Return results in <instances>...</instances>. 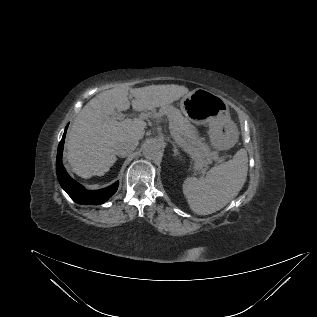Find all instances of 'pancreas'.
I'll list each match as a JSON object with an SVG mask.
<instances>
[{"label":"pancreas","instance_id":"1","mask_svg":"<svg viewBox=\"0 0 317 317\" xmlns=\"http://www.w3.org/2000/svg\"><path fill=\"white\" fill-rule=\"evenodd\" d=\"M163 115L168 116L171 135L181 139V147L192 157L195 170L203 172L212 160L217 159V153L204 142L195 126L182 115L180 110L172 105H166L161 107L159 112H154L151 117L158 119Z\"/></svg>","mask_w":317,"mask_h":317}]
</instances>
